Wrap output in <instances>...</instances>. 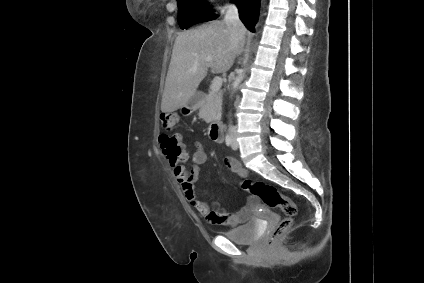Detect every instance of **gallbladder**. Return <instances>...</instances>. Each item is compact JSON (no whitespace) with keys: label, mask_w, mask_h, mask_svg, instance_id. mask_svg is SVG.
Here are the masks:
<instances>
[{"label":"gallbladder","mask_w":424,"mask_h":283,"mask_svg":"<svg viewBox=\"0 0 424 283\" xmlns=\"http://www.w3.org/2000/svg\"><path fill=\"white\" fill-rule=\"evenodd\" d=\"M198 101V95L195 94L194 96L191 97V99L188 102V105H195Z\"/></svg>","instance_id":"bac80fb5"}]
</instances>
